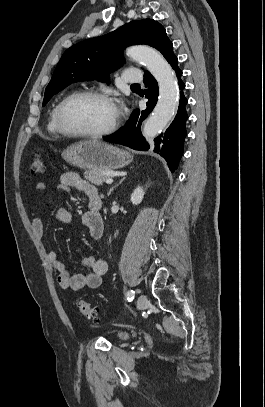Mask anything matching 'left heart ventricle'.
I'll return each instance as SVG.
<instances>
[{"label": "left heart ventricle", "mask_w": 265, "mask_h": 407, "mask_svg": "<svg viewBox=\"0 0 265 407\" xmlns=\"http://www.w3.org/2000/svg\"><path fill=\"white\" fill-rule=\"evenodd\" d=\"M115 117V107L96 98L74 99L68 104L65 112L69 127L84 132L103 130L111 125Z\"/></svg>", "instance_id": "left-heart-ventricle-1"}]
</instances>
